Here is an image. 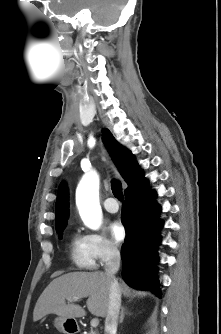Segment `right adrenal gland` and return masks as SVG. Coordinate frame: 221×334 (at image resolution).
Listing matches in <instances>:
<instances>
[{
    "mask_svg": "<svg viewBox=\"0 0 221 334\" xmlns=\"http://www.w3.org/2000/svg\"><path fill=\"white\" fill-rule=\"evenodd\" d=\"M129 315H131V313H128ZM124 316H125V308L122 307L121 308V312H120V318H119V323H122L124 320Z\"/></svg>",
    "mask_w": 221,
    "mask_h": 334,
    "instance_id": "right-adrenal-gland-1",
    "label": "right adrenal gland"
}]
</instances>
